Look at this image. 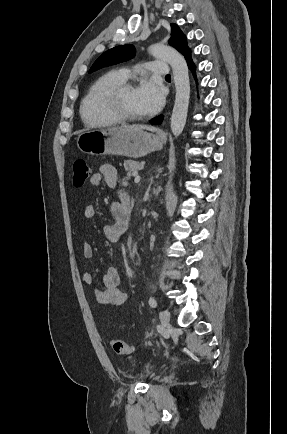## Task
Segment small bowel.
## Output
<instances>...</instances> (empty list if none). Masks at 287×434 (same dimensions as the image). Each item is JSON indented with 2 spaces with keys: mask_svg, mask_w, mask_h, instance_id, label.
Masks as SVG:
<instances>
[{
  "mask_svg": "<svg viewBox=\"0 0 287 434\" xmlns=\"http://www.w3.org/2000/svg\"><path fill=\"white\" fill-rule=\"evenodd\" d=\"M90 183L93 186H100L102 183L110 188H118L120 185L116 168L111 164H102L99 170L91 175ZM113 223L104 224L102 233L109 242H120L128 229L131 212V202L128 195L120 190L117 200L110 206ZM83 215L86 219H92L96 215V206L88 203L84 206ZM83 256L87 259L93 258L94 248L90 243H84L82 247ZM86 286L93 288V296L97 303L102 305H121L127 299V294L118 288L120 275L115 267L109 266L105 269L101 286L95 284L93 275L85 272L82 276Z\"/></svg>",
  "mask_w": 287,
  "mask_h": 434,
  "instance_id": "1",
  "label": "small bowel"
}]
</instances>
